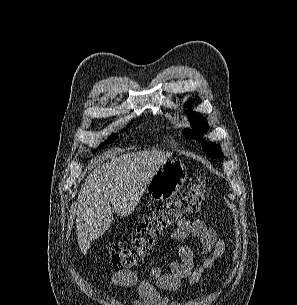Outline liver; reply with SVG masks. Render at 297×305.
Returning <instances> with one entry per match:
<instances>
[{
    "instance_id": "6515ba94",
    "label": "liver",
    "mask_w": 297,
    "mask_h": 305,
    "mask_svg": "<svg viewBox=\"0 0 297 305\" xmlns=\"http://www.w3.org/2000/svg\"><path fill=\"white\" fill-rule=\"evenodd\" d=\"M170 152L140 151L111 156L85 179L77 203V238L86 254L91 242L101 237L113 222V213L130 215L156 171Z\"/></svg>"
}]
</instances>
